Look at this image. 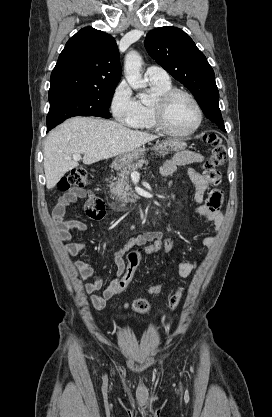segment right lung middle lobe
Masks as SVG:
<instances>
[{
  "label": "right lung middle lobe",
  "instance_id": "obj_1",
  "mask_svg": "<svg viewBox=\"0 0 272 417\" xmlns=\"http://www.w3.org/2000/svg\"><path fill=\"white\" fill-rule=\"evenodd\" d=\"M114 88L108 90H64L49 93L47 131L73 116L110 118L108 108Z\"/></svg>",
  "mask_w": 272,
  "mask_h": 417
}]
</instances>
